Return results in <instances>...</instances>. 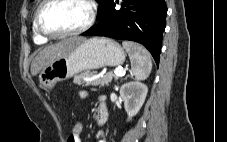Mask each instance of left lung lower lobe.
Segmentation results:
<instances>
[{
	"instance_id": "left-lung-lower-lobe-1",
	"label": "left lung lower lobe",
	"mask_w": 227,
	"mask_h": 142,
	"mask_svg": "<svg viewBox=\"0 0 227 142\" xmlns=\"http://www.w3.org/2000/svg\"><path fill=\"white\" fill-rule=\"evenodd\" d=\"M110 0L100 14V22L82 35L106 36L143 44L159 64L167 7L165 0Z\"/></svg>"
}]
</instances>
